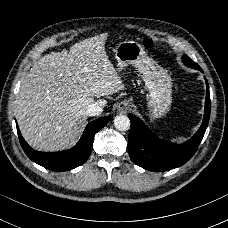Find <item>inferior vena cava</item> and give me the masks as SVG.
<instances>
[{"label": "inferior vena cava", "mask_w": 228, "mask_h": 228, "mask_svg": "<svg viewBox=\"0 0 228 228\" xmlns=\"http://www.w3.org/2000/svg\"><path fill=\"white\" fill-rule=\"evenodd\" d=\"M103 111L102 107L97 103H92L86 107L85 113L89 116H95L101 114Z\"/></svg>", "instance_id": "inferior-vena-cava-1"}]
</instances>
